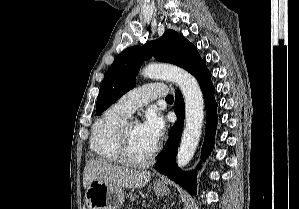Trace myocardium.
<instances>
[{"label":"myocardium","mask_w":299,"mask_h":209,"mask_svg":"<svg viewBox=\"0 0 299 209\" xmlns=\"http://www.w3.org/2000/svg\"><path fill=\"white\" fill-rule=\"evenodd\" d=\"M129 126L130 123H125L119 133V154L121 161L122 163L135 168L148 166L156 156L158 148L155 147L145 159H133L129 152Z\"/></svg>","instance_id":"1"}]
</instances>
